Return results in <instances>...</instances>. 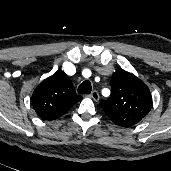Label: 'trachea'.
Segmentation results:
<instances>
[{
    "instance_id": "obj_1",
    "label": "trachea",
    "mask_w": 171,
    "mask_h": 171,
    "mask_svg": "<svg viewBox=\"0 0 171 171\" xmlns=\"http://www.w3.org/2000/svg\"><path fill=\"white\" fill-rule=\"evenodd\" d=\"M91 90H92V86H91L90 81L88 80L82 82L80 86L78 87L79 94H89L91 93Z\"/></svg>"
}]
</instances>
